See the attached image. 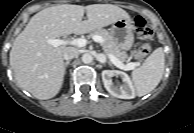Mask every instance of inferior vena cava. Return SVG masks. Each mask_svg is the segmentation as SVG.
I'll use <instances>...</instances> for the list:
<instances>
[{"label": "inferior vena cava", "mask_w": 194, "mask_h": 133, "mask_svg": "<svg viewBox=\"0 0 194 133\" xmlns=\"http://www.w3.org/2000/svg\"><path fill=\"white\" fill-rule=\"evenodd\" d=\"M79 55V51L78 49L74 48V47H67L64 51L63 54V59L65 60H71L73 58L78 57Z\"/></svg>", "instance_id": "602c4592"}]
</instances>
